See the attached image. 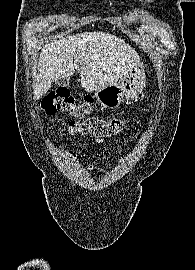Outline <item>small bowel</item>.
<instances>
[{
  "label": "small bowel",
  "instance_id": "c3829d8e",
  "mask_svg": "<svg viewBox=\"0 0 195 270\" xmlns=\"http://www.w3.org/2000/svg\"><path fill=\"white\" fill-rule=\"evenodd\" d=\"M96 142L101 143L102 140H97ZM70 156L73 157V158H76V154H74V153H70ZM87 167H88V169H92L93 166L91 164H88Z\"/></svg>",
  "mask_w": 195,
  "mask_h": 270
}]
</instances>
